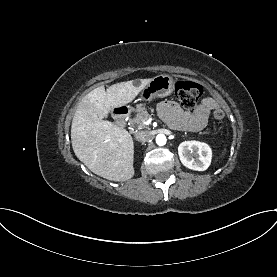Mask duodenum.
<instances>
[{"label":"duodenum","mask_w":277,"mask_h":277,"mask_svg":"<svg viewBox=\"0 0 277 277\" xmlns=\"http://www.w3.org/2000/svg\"><path fill=\"white\" fill-rule=\"evenodd\" d=\"M128 115L129 111L126 107H117L113 110L114 119L120 127H123L126 124Z\"/></svg>","instance_id":"duodenum-1"}]
</instances>
